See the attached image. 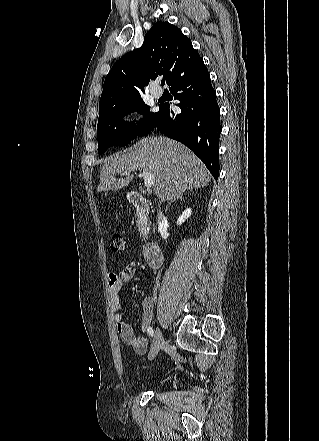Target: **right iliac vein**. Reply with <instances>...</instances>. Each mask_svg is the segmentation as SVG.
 <instances>
[{"label": "right iliac vein", "instance_id": "right-iliac-vein-1", "mask_svg": "<svg viewBox=\"0 0 319 441\" xmlns=\"http://www.w3.org/2000/svg\"><path fill=\"white\" fill-rule=\"evenodd\" d=\"M163 343H164V338H163L162 332L157 327L156 332H155V336H154V340H153V344L151 346V350H150L149 355H148V359L149 360H153L157 356V354H158L159 350L161 349Z\"/></svg>", "mask_w": 319, "mask_h": 441}]
</instances>
